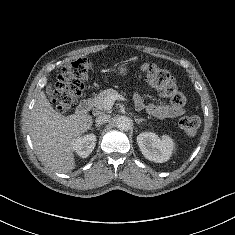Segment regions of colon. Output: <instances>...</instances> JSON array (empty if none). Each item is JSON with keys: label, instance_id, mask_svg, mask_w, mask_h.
<instances>
[{"label": "colon", "instance_id": "1", "mask_svg": "<svg viewBox=\"0 0 235 235\" xmlns=\"http://www.w3.org/2000/svg\"><path fill=\"white\" fill-rule=\"evenodd\" d=\"M92 67V61L86 57L71 61L63 67L62 73L56 81L52 97V102L58 112L65 113L76 104L82 95L84 81ZM139 74L171 104L185 105V96L178 89L174 77L167 70L150 62H142L139 65ZM179 126L186 136L192 137L200 127V119L195 115L184 116L180 119Z\"/></svg>", "mask_w": 235, "mask_h": 235}]
</instances>
